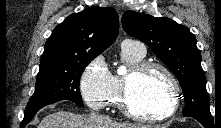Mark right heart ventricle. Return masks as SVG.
I'll use <instances>...</instances> for the list:
<instances>
[{"label":"right heart ventricle","mask_w":221,"mask_h":128,"mask_svg":"<svg viewBox=\"0 0 221 128\" xmlns=\"http://www.w3.org/2000/svg\"><path fill=\"white\" fill-rule=\"evenodd\" d=\"M145 55H141L128 47H121V59L129 69L143 62ZM112 74V73H111ZM124 77L119 74H112V90L105 98V108H120L121 88Z\"/></svg>","instance_id":"right-heart-ventricle-1"}]
</instances>
